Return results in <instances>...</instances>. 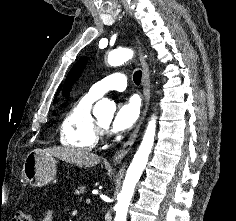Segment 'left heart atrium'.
I'll use <instances>...</instances> for the list:
<instances>
[{
    "mask_svg": "<svg viewBox=\"0 0 236 221\" xmlns=\"http://www.w3.org/2000/svg\"><path fill=\"white\" fill-rule=\"evenodd\" d=\"M139 112L137 99L129 98L120 102L110 123L111 131L117 133L129 130L138 119Z\"/></svg>",
    "mask_w": 236,
    "mask_h": 221,
    "instance_id": "obj_1",
    "label": "left heart atrium"
}]
</instances>
